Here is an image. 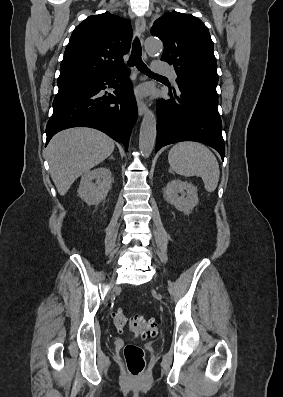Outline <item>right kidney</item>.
<instances>
[{
	"mask_svg": "<svg viewBox=\"0 0 283 397\" xmlns=\"http://www.w3.org/2000/svg\"><path fill=\"white\" fill-rule=\"evenodd\" d=\"M96 180V183H93ZM112 174L109 168L99 167L82 175L78 196L88 205H97L111 189Z\"/></svg>",
	"mask_w": 283,
	"mask_h": 397,
	"instance_id": "right-kidney-1",
	"label": "right kidney"
}]
</instances>
